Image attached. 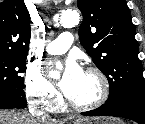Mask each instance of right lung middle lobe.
Returning a JSON list of instances; mask_svg holds the SVG:
<instances>
[{"label":"right lung middle lobe","instance_id":"1","mask_svg":"<svg viewBox=\"0 0 145 124\" xmlns=\"http://www.w3.org/2000/svg\"><path fill=\"white\" fill-rule=\"evenodd\" d=\"M26 57L0 54V89H23Z\"/></svg>","mask_w":145,"mask_h":124}]
</instances>
